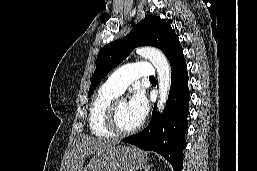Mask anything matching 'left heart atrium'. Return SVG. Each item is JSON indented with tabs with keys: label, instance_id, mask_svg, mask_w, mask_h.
Listing matches in <instances>:
<instances>
[{
	"label": "left heart atrium",
	"instance_id": "obj_1",
	"mask_svg": "<svg viewBox=\"0 0 257 171\" xmlns=\"http://www.w3.org/2000/svg\"><path fill=\"white\" fill-rule=\"evenodd\" d=\"M129 106L137 118L142 121L148 113V100L141 89H136L129 101Z\"/></svg>",
	"mask_w": 257,
	"mask_h": 171
}]
</instances>
